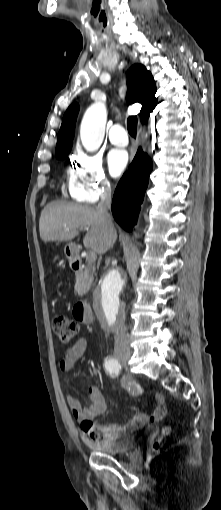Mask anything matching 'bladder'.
Here are the masks:
<instances>
[{
	"instance_id": "obj_1",
	"label": "bladder",
	"mask_w": 221,
	"mask_h": 510,
	"mask_svg": "<svg viewBox=\"0 0 221 510\" xmlns=\"http://www.w3.org/2000/svg\"><path fill=\"white\" fill-rule=\"evenodd\" d=\"M136 444V438L133 435L124 436L111 442L103 443H90V446L98 452H102L107 455H119L127 453L134 449Z\"/></svg>"
}]
</instances>
